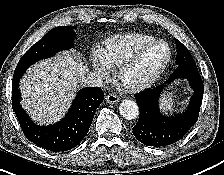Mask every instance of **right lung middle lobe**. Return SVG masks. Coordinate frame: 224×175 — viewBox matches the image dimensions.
Listing matches in <instances>:
<instances>
[{
  "label": "right lung middle lobe",
  "mask_w": 224,
  "mask_h": 175,
  "mask_svg": "<svg viewBox=\"0 0 224 175\" xmlns=\"http://www.w3.org/2000/svg\"><path fill=\"white\" fill-rule=\"evenodd\" d=\"M75 28V26L53 28L24 54L18 65L33 64L41 59L52 57L62 50L70 49L74 42Z\"/></svg>",
  "instance_id": "dd1d6c3e"
}]
</instances>
